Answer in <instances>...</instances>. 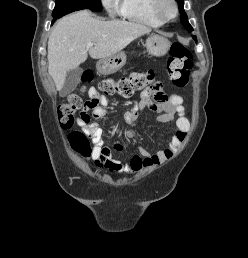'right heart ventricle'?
<instances>
[{"instance_id":"right-heart-ventricle-1","label":"right heart ventricle","mask_w":248,"mask_h":258,"mask_svg":"<svg viewBox=\"0 0 248 258\" xmlns=\"http://www.w3.org/2000/svg\"><path fill=\"white\" fill-rule=\"evenodd\" d=\"M151 5L152 0H122L121 15L131 22L160 27L163 22L155 16Z\"/></svg>"}]
</instances>
